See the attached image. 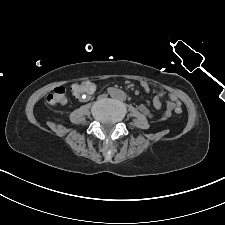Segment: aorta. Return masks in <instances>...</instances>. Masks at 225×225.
Listing matches in <instances>:
<instances>
[{"instance_id": "1", "label": "aorta", "mask_w": 225, "mask_h": 225, "mask_svg": "<svg viewBox=\"0 0 225 225\" xmlns=\"http://www.w3.org/2000/svg\"><path fill=\"white\" fill-rule=\"evenodd\" d=\"M112 96L114 98L120 99V100H124L126 98V94L122 91V90H114L112 93Z\"/></svg>"}]
</instances>
